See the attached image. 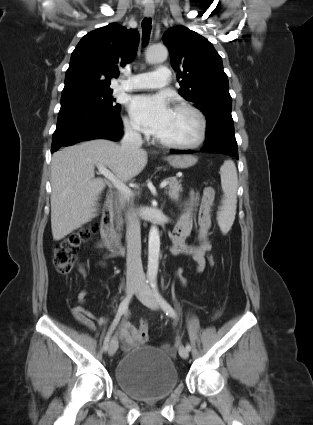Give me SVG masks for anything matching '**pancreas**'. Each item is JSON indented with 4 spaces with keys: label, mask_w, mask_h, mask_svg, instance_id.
I'll use <instances>...</instances> for the list:
<instances>
[{
    "label": "pancreas",
    "mask_w": 313,
    "mask_h": 425,
    "mask_svg": "<svg viewBox=\"0 0 313 425\" xmlns=\"http://www.w3.org/2000/svg\"><path fill=\"white\" fill-rule=\"evenodd\" d=\"M166 181L168 182V191H166V193L168 194V196L172 199V200H179L180 198V192H182V185H181V181L177 180L176 177H169L166 179ZM129 199L126 198L125 196L121 195L119 196V198L117 199L115 205H116V211L118 213V220H119V224H122V219L120 217L121 214V210L124 208L126 202H128Z\"/></svg>",
    "instance_id": "cf45deb5"
}]
</instances>
